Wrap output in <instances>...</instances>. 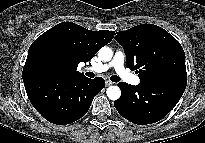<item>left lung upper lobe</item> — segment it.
Returning <instances> with one entry per match:
<instances>
[{
  "label": "left lung upper lobe",
  "mask_w": 205,
  "mask_h": 143,
  "mask_svg": "<svg viewBox=\"0 0 205 143\" xmlns=\"http://www.w3.org/2000/svg\"><path fill=\"white\" fill-rule=\"evenodd\" d=\"M115 39L123 46L127 67L136 70L140 82L187 77L184 50L163 28L141 24L117 32Z\"/></svg>",
  "instance_id": "obj_1"
}]
</instances>
